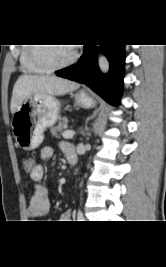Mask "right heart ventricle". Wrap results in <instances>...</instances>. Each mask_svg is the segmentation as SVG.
Returning <instances> with one entry per match:
<instances>
[{"label": "right heart ventricle", "instance_id": "right-heart-ventricle-1", "mask_svg": "<svg viewBox=\"0 0 166 267\" xmlns=\"http://www.w3.org/2000/svg\"><path fill=\"white\" fill-rule=\"evenodd\" d=\"M19 61L22 69L29 73H44L46 70L37 65L32 59V46H23L20 51Z\"/></svg>", "mask_w": 166, "mask_h": 267}]
</instances>
